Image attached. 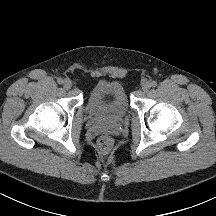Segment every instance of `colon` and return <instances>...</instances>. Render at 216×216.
<instances>
[{
	"instance_id": "5ec220e1",
	"label": "colon",
	"mask_w": 216,
	"mask_h": 216,
	"mask_svg": "<svg viewBox=\"0 0 216 216\" xmlns=\"http://www.w3.org/2000/svg\"><path fill=\"white\" fill-rule=\"evenodd\" d=\"M114 141L108 135H103L98 139L97 147L102 154H109L113 150Z\"/></svg>"
}]
</instances>
